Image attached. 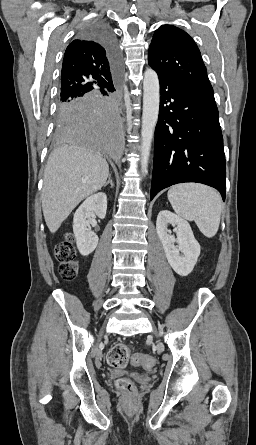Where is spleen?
Segmentation results:
<instances>
[{
    "label": "spleen",
    "instance_id": "1",
    "mask_svg": "<svg viewBox=\"0 0 256 445\" xmlns=\"http://www.w3.org/2000/svg\"><path fill=\"white\" fill-rule=\"evenodd\" d=\"M167 196L176 214L194 220L206 237L215 236L222 210L221 196L216 190L202 184H177L169 189Z\"/></svg>",
    "mask_w": 256,
    "mask_h": 445
}]
</instances>
